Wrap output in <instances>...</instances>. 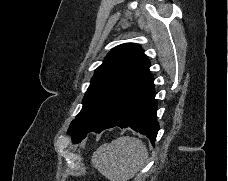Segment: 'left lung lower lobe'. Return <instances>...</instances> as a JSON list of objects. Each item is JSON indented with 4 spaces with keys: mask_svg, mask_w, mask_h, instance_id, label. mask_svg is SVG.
Returning a JSON list of instances; mask_svg holds the SVG:
<instances>
[{
    "mask_svg": "<svg viewBox=\"0 0 228 181\" xmlns=\"http://www.w3.org/2000/svg\"><path fill=\"white\" fill-rule=\"evenodd\" d=\"M155 94L153 77L149 72L133 92L121 120L107 128L115 126L130 127L137 132L146 134L152 145H154L159 130V124L156 117L157 101L155 99ZM107 128L78 132L72 136L73 142L79 143L87 136V133H100Z\"/></svg>",
    "mask_w": 228,
    "mask_h": 181,
    "instance_id": "0a47b994",
    "label": "left lung lower lobe"
}]
</instances>
